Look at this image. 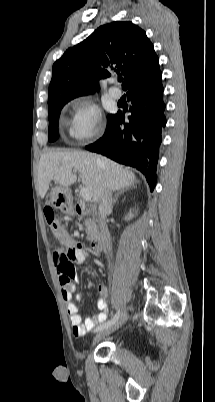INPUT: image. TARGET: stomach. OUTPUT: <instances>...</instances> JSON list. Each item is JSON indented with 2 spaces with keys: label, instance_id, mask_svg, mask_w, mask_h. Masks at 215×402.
Returning a JSON list of instances; mask_svg holds the SVG:
<instances>
[{
  "label": "stomach",
  "instance_id": "0dacf381",
  "mask_svg": "<svg viewBox=\"0 0 215 402\" xmlns=\"http://www.w3.org/2000/svg\"><path fill=\"white\" fill-rule=\"evenodd\" d=\"M51 204L64 214H72L73 205L69 188L56 186L50 191Z\"/></svg>",
  "mask_w": 215,
  "mask_h": 402
}]
</instances>
